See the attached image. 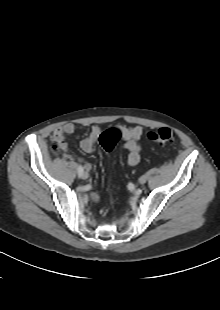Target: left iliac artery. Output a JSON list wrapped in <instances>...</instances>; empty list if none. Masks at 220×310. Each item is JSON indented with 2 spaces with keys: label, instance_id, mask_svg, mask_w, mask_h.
Listing matches in <instances>:
<instances>
[{
  "label": "left iliac artery",
  "instance_id": "left-iliac-artery-1",
  "mask_svg": "<svg viewBox=\"0 0 220 310\" xmlns=\"http://www.w3.org/2000/svg\"><path fill=\"white\" fill-rule=\"evenodd\" d=\"M127 188H128V190L133 191L135 189L134 183H132V182L128 183Z\"/></svg>",
  "mask_w": 220,
  "mask_h": 310
}]
</instances>
